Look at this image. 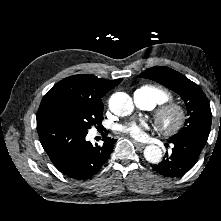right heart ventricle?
<instances>
[{"label":"right heart ventricle","instance_id":"obj_1","mask_svg":"<svg viewBox=\"0 0 221 221\" xmlns=\"http://www.w3.org/2000/svg\"><path fill=\"white\" fill-rule=\"evenodd\" d=\"M141 88H144L151 93L153 97L154 106L158 104H162L172 98V93L164 87H160L156 85H145Z\"/></svg>","mask_w":221,"mask_h":221}]
</instances>
